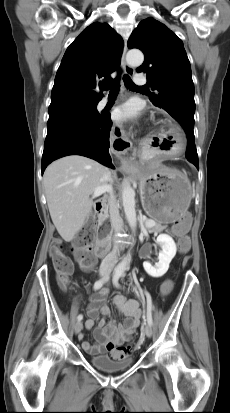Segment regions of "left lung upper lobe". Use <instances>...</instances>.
<instances>
[{
    "mask_svg": "<svg viewBox=\"0 0 230 413\" xmlns=\"http://www.w3.org/2000/svg\"><path fill=\"white\" fill-rule=\"evenodd\" d=\"M128 48L144 53L137 72L146 73L153 92L151 102L167 111L184 129L194 127V84L191 66L181 39L167 26L150 17L132 32Z\"/></svg>",
    "mask_w": 230,
    "mask_h": 413,
    "instance_id": "left-lung-upper-lobe-1",
    "label": "left lung upper lobe"
}]
</instances>
